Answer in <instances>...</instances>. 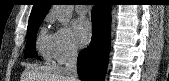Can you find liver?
<instances>
[{"label": "liver", "instance_id": "6515ba94", "mask_svg": "<svg viewBox=\"0 0 169 81\" xmlns=\"http://www.w3.org/2000/svg\"><path fill=\"white\" fill-rule=\"evenodd\" d=\"M21 81H71L60 66H29Z\"/></svg>", "mask_w": 169, "mask_h": 81}]
</instances>
